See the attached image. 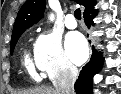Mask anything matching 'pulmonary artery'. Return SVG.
<instances>
[{"instance_id": "e3ab8cb5", "label": "pulmonary artery", "mask_w": 121, "mask_h": 94, "mask_svg": "<svg viewBox=\"0 0 121 94\" xmlns=\"http://www.w3.org/2000/svg\"><path fill=\"white\" fill-rule=\"evenodd\" d=\"M65 26L68 29H75L77 27V22L73 14H67L65 18Z\"/></svg>"}]
</instances>
